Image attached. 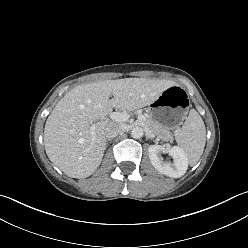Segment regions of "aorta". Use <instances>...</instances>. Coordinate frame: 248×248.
Returning <instances> with one entry per match:
<instances>
[{
  "instance_id": "obj_1",
  "label": "aorta",
  "mask_w": 248,
  "mask_h": 248,
  "mask_svg": "<svg viewBox=\"0 0 248 248\" xmlns=\"http://www.w3.org/2000/svg\"><path fill=\"white\" fill-rule=\"evenodd\" d=\"M144 135V130L142 127L136 126L131 130V136L135 139H140Z\"/></svg>"
}]
</instances>
